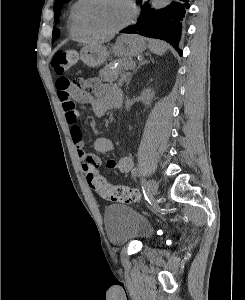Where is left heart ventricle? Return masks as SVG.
<instances>
[{
    "label": "left heart ventricle",
    "instance_id": "1",
    "mask_svg": "<svg viewBox=\"0 0 245 300\" xmlns=\"http://www.w3.org/2000/svg\"><path fill=\"white\" fill-rule=\"evenodd\" d=\"M131 9L126 0H93L86 9L88 26L95 30H110L125 23Z\"/></svg>",
    "mask_w": 245,
    "mask_h": 300
}]
</instances>
